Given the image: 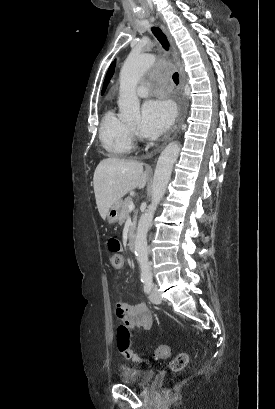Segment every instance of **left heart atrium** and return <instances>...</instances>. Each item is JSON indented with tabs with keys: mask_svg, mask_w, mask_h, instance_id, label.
Here are the masks:
<instances>
[{
	"mask_svg": "<svg viewBox=\"0 0 275 409\" xmlns=\"http://www.w3.org/2000/svg\"><path fill=\"white\" fill-rule=\"evenodd\" d=\"M174 118V108L169 101L149 100L142 109L140 133L156 138L168 129Z\"/></svg>",
	"mask_w": 275,
	"mask_h": 409,
	"instance_id": "1",
	"label": "left heart atrium"
}]
</instances>
